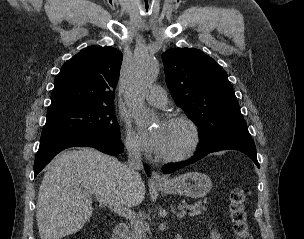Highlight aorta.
I'll list each match as a JSON object with an SVG mask.
<instances>
[{"instance_id":"762f6f07","label":"aorta","mask_w":304,"mask_h":239,"mask_svg":"<svg viewBox=\"0 0 304 239\" xmlns=\"http://www.w3.org/2000/svg\"><path fill=\"white\" fill-rule=\"evenodd\" d=\"M158 74V63L149 55L137 56L134 59L126 81L125 97L135 118L139 121L150 118L149 111L142 101L143 91L151 85Z\"/></svg>"}]
</instances>
